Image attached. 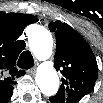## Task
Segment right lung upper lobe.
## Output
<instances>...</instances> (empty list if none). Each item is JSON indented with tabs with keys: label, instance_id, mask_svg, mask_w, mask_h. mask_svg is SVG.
<instances>
[{
	"label": "right lung upper lobe",
	"instance_id": "1",
	"mask_svg": "<svg viewBox=\"0 0 103 103\" xmlns=\"http://www.w3.org/2000/svg\"><path fill=\"white\" fill-rule=\"evenodd\" d=\"M38 19L33 15L0 12V100L7 102L11 97L15 78L25 72L15 67L19 53L25 47L17 40L24 28Z\"/></svg>",
	"mask_w": 103,
	"mask_h": 103
}]
</instances>
